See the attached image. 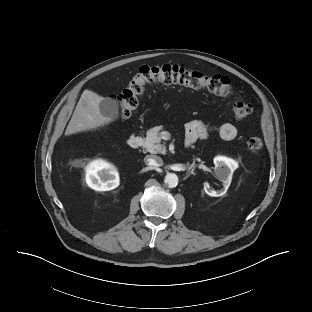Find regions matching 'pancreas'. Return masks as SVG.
Returning <instances> with one entry per match:
<instances>
[{
	"instance_id": "pancreas-1",
	"label": "pancreas",
	"mask_w": 312,
	"mask_h": 312,
	"mask_svg": "<svg viewBox=\"0 0 312 312\" xmlns=\"http://www.w3.org/2000/svg\"><path fill=\"white\" fill-rule=\"evenodd\" d=\"M162 126H156L152 129H149L146 133V138L144 139L143 147L147 152L152 154H165L166 147L161 144V135L160 130Z\"/></svg>"
}]
</instances>
